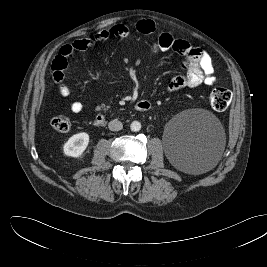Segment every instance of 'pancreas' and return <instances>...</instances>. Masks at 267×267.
Instances as JSON below:
<instances>
[{
    "instance_id": "1",
    "label": "pancreas",
    "mask_w": 267,
    "mask_h": 267,
    "mask_svg": "<svg viewBox=\"0 0 267 267\" xmlns=\"http://www.w3.org/2000/svg\"><path fill=\"white\" fill-rule=\"evenodd\" d=\"M101 108L104 110H108L110 108V106H105L104 104H102Z\"/></svg>"
}]
</instances>
